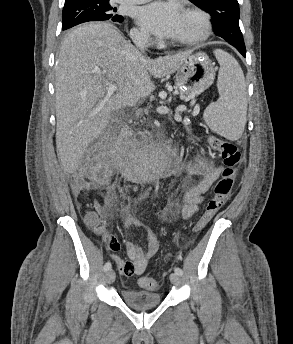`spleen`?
I'll return each instance as SVG.
<instances>
[{
  "instance_id": "1",
  "label": "spleen",
  "mask_w": 293,
  "mask_h": 344,
  "mask_svg": "<svg viewBox=\"0 0 293 344\" xmlns=\"http://www.w3.org/2000/svg\"><path fill=\"white\" fill-rule=\"evenodd\" d=\"M214 54L220 64L217 80L220 97L206 108L203 118L212 131L234 141L242 136L246 124L245 77L232 55L220 49Z\"/></svg>"
}]
</instances>
